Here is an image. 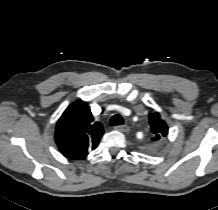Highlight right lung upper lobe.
<instances>
[{
  "label": "right lung upper lobe",
  "mask_w": 218,
  "mask_h": 210,
  "mask_svg": "<svg viewBox=\"0 0 218 210\" xmlns=\"http://www.w3.org/2000/svg\"><path fill=\"white\" fill-rule=\"evenodd\" d=\"M102 135V124L94 122L88 104L78 100L58 120L55 141L65 156L82 159L97 147Z\"/></svg>",
  "instance_id": "cb5924a9"
}]
</instances>
